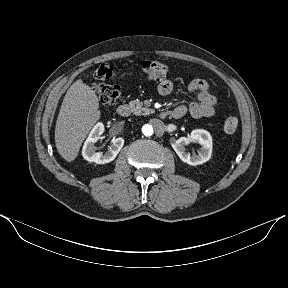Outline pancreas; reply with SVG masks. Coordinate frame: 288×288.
Masks as SVG:
<instances>
[{
  "label": "pancreas",
  "mask_w": 288,
  "mask_h": 288,
  "mask_svg": "<svg viewBox=\"0 0 288 288\" xmlns=\"http://www.w3.org/2000/svg\"><path fill=\"white\" fill-rule=\"evenodd\" d=\"M129 106L135 115H149L154 112L152 109L143 107V103L140 100L131 101Z\"/></svg>",
  "instance_id": "cf45deb5"
}]
</instances>
